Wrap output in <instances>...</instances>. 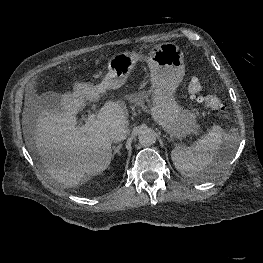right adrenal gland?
Returning a JSON list of instances; mask_svg holds the SVG:
<instances>
[{
  "instance_id": "right-adrenal-gland-1",
  "label": "right adrenal gland",
  "mask_w": 263,
  "mask_h": 263,
  "mask_svg": "<svg viewBox=\"0 0 263 263\" xmlns=\"http://www.w3.org/2000/svg\"><path fill=\"white\" fill-rule=\"evenodd\" d=\"M122 148V144H119L117 147L114 145L113 147H112V149H113V153H112V158H114V156L116 155V154H118L119 156L121 155V153H120V149Z\"/></svg>"
}]
</instances>
